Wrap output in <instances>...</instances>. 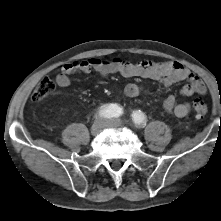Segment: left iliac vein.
<instances>
[{"instance_id": "obj_1", "label": "left iliac vein", "mask_w": 221, "mask_h": 221, "mask_svg": "<svg viewBox=\"0 0 221 221\" xmlns=\"http://www.w3.org/2000/svg\"><path fill=\"white\" fill-rule=\"evenodd\" d=\"M121 125H122V121L120 119H111V120H108L106 123V126H109V127H119Z\"/></svg>"}]
</instances>
